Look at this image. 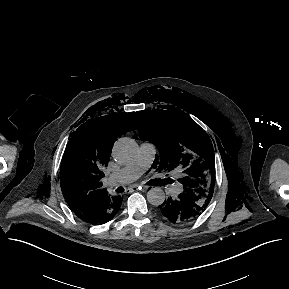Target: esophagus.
<instances>
[{"mask_svg":"<svg viewBox=\"0 0 289 289\" xmlns=\"http://www.w3.org/2000/svg\"><path fill=\"white\" fill-rule=\"evenodd\" d=\"M132 188L133 189H140L141 188L143 190H148L150 188V186H148V185H140V186L134 185Z\"/></svg>","mask_w":289,"mask_h":289,"instance_id":"obj_1","label":"esophagus"}]
</instances>
